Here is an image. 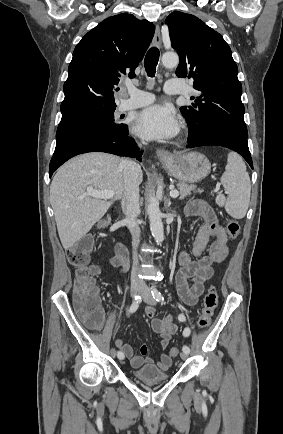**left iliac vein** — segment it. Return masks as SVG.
Segmentation results:
<instances>
[{"label": "left iliac vein", "mask_w": 283, "mask_h": 434, "mask_svg": "<svg viewBox=\"0 0 283 434\" xmlns=\"http://www.w3.org/2000/svg\"><path fill=\"white\" fill-rule=\"evenodd\" d=\"M140 289H141V293H142V298L144 300L145 303L149 304V305H155L156 301L155 299L152 297L150 290L147 286V284L142 281L140 283ZM180 357L182 360H186L188 358V353L182 352L180 354Z\"/></svg>", "instance_id": "obj_1"}]
</instances>
